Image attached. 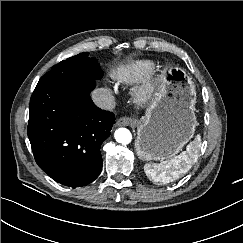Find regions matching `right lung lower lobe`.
Returning a JSON list of instances; mask_svg holds the SVG:
<instances>
[{"label":"right lung lower lobe","mask_w":243,"mask_h":243,"mask_svg":"<svg viewBox=\"0 0 243 243\" xmlns=\"http://www.w3.org/2000/svg\"><path fill=\"white\" fill-rule=\"evenodd\" d=\"M95 80L39 81L30 100L28 137L36 163L58 183L80 187L102 169L101 144L115 116L90 98Z\"/></svg>","instance_id":"1"}]
</instances>
